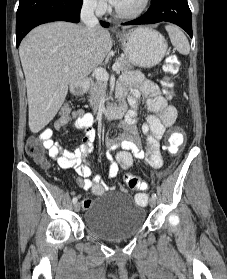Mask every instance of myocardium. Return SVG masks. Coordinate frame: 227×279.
Instances as JSON below:
<instances>
[{
  "instance_id": "obj_1",
  "label": "myocardium",
  "mask_w": 227,
  "mask_h": 279,
  "mask_svg": "<svg viewBox=\"0 0 227 279\" xmlns=\"http://www.w3.org/2000/svg\"><path fill=\"white\" fill-rule=\"evenodd\" d=\"M149 5H150V0H142L141 6L136 11L128 12V13L121 11L115 5L113 8H114V12L117 17L123 18V19H134V18H137V17H140L141 15H143L149 8Z\"/></svg>"
}]
</instances>
